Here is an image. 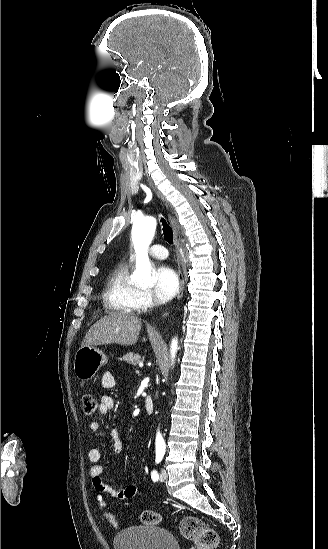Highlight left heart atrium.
<instances>
[{"label":"left heart atrium","mask_w":328,"mask_h":549,"mask_svg":"<svg viewBox=\"0 0 328 549\" xmlns=\"http://www.w3.org/2000/svg\"><path fill=\"white\" fill-rule=\"evenodd\" d=\"M179 289V279L170 266H162L156 270L154 290L163 300L171 299Z\"/></svg>","instance_id":"left-heart-atrium-1"}]
</instances>
